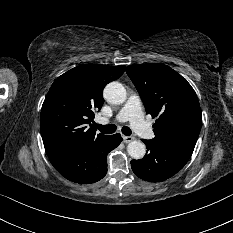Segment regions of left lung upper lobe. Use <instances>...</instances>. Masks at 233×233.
I'll return each instance as SVG.
<instances>
[{
	"instance_id": "left-lung-upper-lobe-1",
	"label": "left lung upper lobe",
	"mask_w": 233,
	"mask_h": 233,
	"mask_svg": "<svg viewBox=\"0 0 233 233\" xmlns=\"http://www.w3.org/2000/svg\"><path fill=\"white\" fill-rule=\"evenodd\" d=\"M126 72L152 118L157 142L184 143L195 147L202 113L191 85L172 68L162 64L131 65Z\"/></svg>"
}]
</instances>
